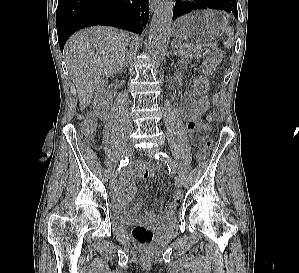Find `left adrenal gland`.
Listing matches in <instances>:
<instances>
[{"label": "left adrenal gland", "instance_id": "a2214340", "mask_svg": "<svg viewBox=\"0 0 299 273\" xmlns=\"http://www.w3.org/2000/svg\"><path fill=\"white\" fill-rule=\"evenodd\" d=\"M169 54L170 55H172V54L177 55V52H176L175 47H174V44L171 45V49H170Z\"/></svg>", "mask_w": 299, "mask_h": 273}]
</instances>
